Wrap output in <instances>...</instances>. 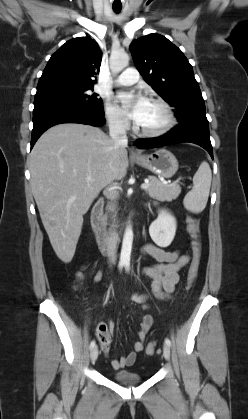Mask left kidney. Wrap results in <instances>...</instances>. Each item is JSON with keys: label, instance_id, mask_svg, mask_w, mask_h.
<instances>
[{"label": "left kidney", "instance_id": "obj_1", "mask_svg": "<svg viewBox=\"0 0 248 419\" xmlns=\"http://www.w3.org/2000/svg\"><path fill=\"white\" fill-rule=\"evenodd\" d=\"M176 233V219L166 210H160L158 217L149 227L152 240L160 247L171 244Z\"/></svg>", "mask_w": 248, "mask_h": 419}]
</instances>
